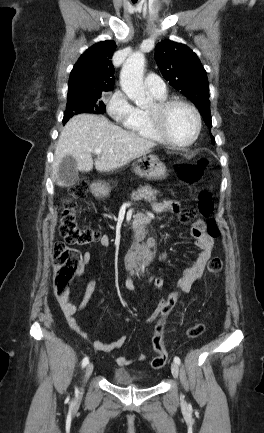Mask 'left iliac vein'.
<instances>
[{
  "label": "left iliac vein",
  "mask_w": 264,
  "mask_h": 433,
  "mask_svg": "<svg viewBox=\"0 0 264 433\" xmlns=\"http://www.w3.org/2000/svg\"><path fill=\"white\" fill-rule=\"evenodd\" d=\"M171 372H172V375L174 376V378L177 379L179 376V367H178V364L176 362L171 363Z\"/></svg>",
  "instance_id": "4c4485c4"
}]
</instances>
